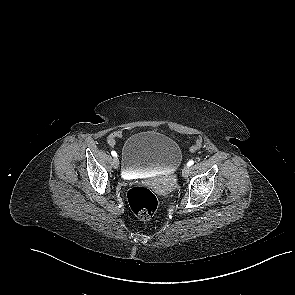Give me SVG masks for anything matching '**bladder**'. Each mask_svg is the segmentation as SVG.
Instances as JSON below:
<instances>
[{
  "label": "bladder",
  "instance_id": "31cf9c89",
  "mask_svg": "<svg viewBox=\"0 0 295 295\" xmlns=\"http://www.w3.org/2000/svg\"><path fill=\"white\" fill-rule=\"evenodd\" d=\"M181 161L182 152L177 142L156 131L132 135L121 151L122 174L127 177L147 172L172 173Z\"/></svg>",
  "mask_w": 295,
  "mask_h": 295
}]
</instances>
